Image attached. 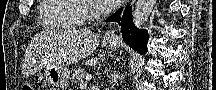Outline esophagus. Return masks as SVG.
Here are the masks:
<instances>
[{"label": "esophagus", "instance_id": "1", "mask_svg": "<svg viewBox=\"0 0 216 90\" xmlns=\"http://www.w3.org/2000/svg\"><path fill=\"white\" fill-rule=\"evenodd\" d=\"M104 39L106 40H114V41H119V36L117 35V29L116 28H112L110 30H108L107 32H105L104 34Z\"/></svg>", "mask_w": 216, "mask_h": 90}]
</instances>
